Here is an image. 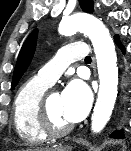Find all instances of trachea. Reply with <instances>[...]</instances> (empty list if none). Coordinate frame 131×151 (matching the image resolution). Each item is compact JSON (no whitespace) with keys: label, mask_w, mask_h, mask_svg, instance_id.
<instances>
[{"label":"trachea","mask_w":131,"mask_h":151,"mask_svg":"<svg viewBox=\"0 0 131 151\" xmlns=\"http://www.w3.org/2000/svg\"><path fill=\"white\" fill-rule=\"evenodd\" d=\"M85 62H91V57H90V56H87V57L85 58Z\"/></svg>","instance_id":"3493384b"}]
</instances>
